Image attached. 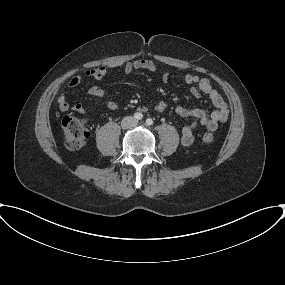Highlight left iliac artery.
<instances>
[{"instance_id": "1", "label": "left iliac artery", "mask_w": 285, "mask_h": 285, "mask_svg": "<svg viewBox=\"0 0 285 285\" xmlns=\"http://www.w3.org/2000/svg\"><path fill=\"white\" fill-rule=\"evenodd\" d=\"M146 124H147L148 126L152 125V124H153V120H152L151 118H148V119L146 120Z\"/></svg>"}]
</instances>
